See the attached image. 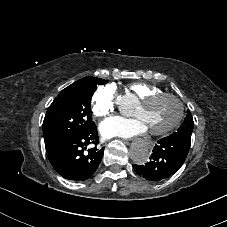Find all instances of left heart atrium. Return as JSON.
<instances>
[{
    "label": "left heart atrium",
    "mask_w": 227,
    "mask_h": 227,
    "mask_svg": "<svg viewBox=\"0 0 227 227\" xmlns=\"http://www.w3.org/2000/svg\"><path fill=\"white\" fill-rule=\"evenodd\" d=\"M99 131L104 138L123 137L131 138L144 134L146 126L139 119L112 118L102 122Z\"/></svg>",
    "instance_id": "39dd6f15"
}]
</instances>
